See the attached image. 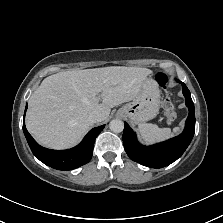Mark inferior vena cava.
<instances>
[{
	"label": "inferior vena cava",
	"instance_id": "obj_1",
	"mask_svg": "<svg viewBox=\"0 0 223 223\" xmlns=\"http://www.w3.org/2000/svg\"><path fill=\"white\" fill-rule=\"evenodd\" d=\"M89 119L93 122V123H97V122H101L104 120V117L102 115L101 112L99 111H92L89 114Z\"/></svg>",
	"mask_w": 223,
	"mask_h": 223
}]
</instances>
